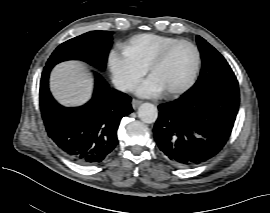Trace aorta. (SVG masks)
I'll return each instance as SVG.
<instances>
[{"label":"aorta","mask_w":270,"mask_h":213,"mask_svg":"<svg viewBox=\"0 0 270 213\" xmlns=\"http://www.w3.org/2000/svg\"><path fill=\"white\" fill-rule=\"evenodd\" d=\"M138 117L144 123H154L158 117V109L151 103H143L138 108Z\"/></svg>","instance_id":"762f6f07"}]
</instances>
